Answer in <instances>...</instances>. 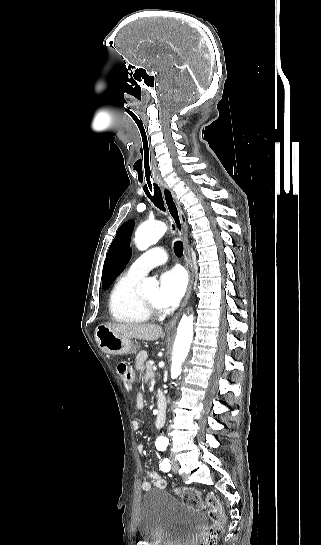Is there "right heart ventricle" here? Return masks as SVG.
<instances>
[{
  "label": "right heart ventricle",
  "mask_w": 321,
  "mask_h": 545,
  "mask_svg": "<svg viewBox=\"0 0 321 545\" xmlns=\"http://www.w3.org/2000/svg\"><path fill=\"white\" fill-rule=\"evenodd\" d=\"M140 277L129 271L122 272L116 278L108 298L110 318L120 325H135L150 321L153 315L141 310L136 301V289ZM164 315V312L161 314Z\"/></svg>",
  "instance_id": "obj_1"
}]
</instances>
